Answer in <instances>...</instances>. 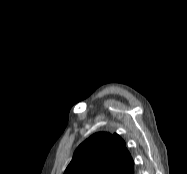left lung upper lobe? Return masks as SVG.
I'll return each instance as SVG.
<instances>
[{
    "instance_id": "1",
    "label": "left lung upper lobe",
    "mask_w": 187,
    "mask_h": 174,
    "mask_svg": "<svg viewBox=\"0 0 187 174\" xmlns=\"http://www.w3.org/2000/svg\"><path fill=\"white\" fill-rule=\"evenodd\" d=\"M133 159L116 133H96L74 152L64 174H133Z\"/></svg>"
}]
</instances>
